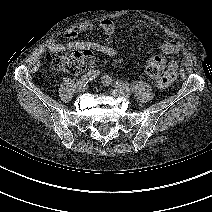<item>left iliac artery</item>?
Wrapping results in <instances>:
<instances>
[{
  "label": "left iliac artery",
  "mask_w": 212,
  "mask_h": 212,
  "mask_svg": "<svg viewBox=\"0 0 212 212\" xmlns=\"http://www.w3.org/2000/svg\"><path fill=\"white\" fill-rule=\"evenodd\" d=\"M102 83L104 85L115 84V86L120 91H122L123 93H126V94H130V90H129L128 85L122 80H118V79L117 80H113L111 77L106 75V76L102 77Z\"/></svg>",
  "instance_id": "44dca946"
}]
</instances>
